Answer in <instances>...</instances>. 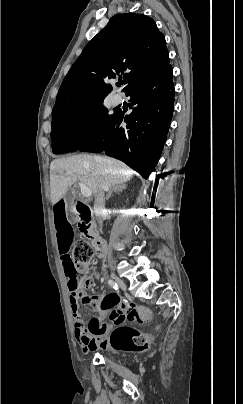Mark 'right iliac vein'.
I'll return each instance as SVG.
<instances>
[{
    "label": "right iliac vein",
    "instance_id": "right-iliac-vein-1",
    "mask_svg": "<svg viewBox=\"0 0 243 404\" xmlns=\"http://www.w3.org/2000/svg\"><path fill=\"white\" fill-rule=\"evenodd\" d=\"M114 278V280L116 281V283L120 286V288L121 289H123V290H126V284L124 283V281L123 280H121L119 277H117V276H114L113 277Z\"/></svg>",
    "mask_w": 243,
    "mask_h": 404
}]
</instances>
